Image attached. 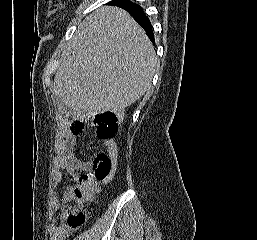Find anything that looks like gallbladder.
Masks as SVG:
<instances>
[{"mask_svg":"<svg viewBox=\"0 0 257 240\" xmlns=\"http://www.w3.org/2000/svg\"><path fill=\"white\" fill-rule=\"evenodd\" d=\"M56 106L59 113L65 115L69 108L65 105V103L61 102L59 99H56Z\"/></svg>","mask_w":257,"mask_h":240,"instance_id":"gallbladder-1","label":"gallbladder"}]
</instances>
